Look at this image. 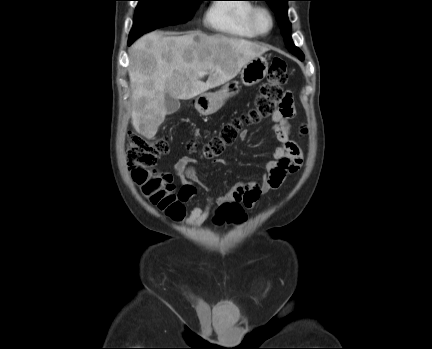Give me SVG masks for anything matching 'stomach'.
<instances>
[{
	"instance_id": "1",
	"label": "stomach",
	"mask_w": 432,
	"mask_h": 349,
	"mask_svg": "<svg viewBox=\"0 0 432 349\" xmlns=\"http://www.w3.org/2000/svg\"><path fill=\"white\" fill-rule=\"evenodd\" d=\"M268 62L262 56L255 57L249 61L241 70V81L245 86H252L262 81L268 72ZM239 91L238 82L226 83L217 92H207L200 94L194 106L201 115H211L216 113L225 101L236 95Z\"/></svg>"
}]
</instances>
